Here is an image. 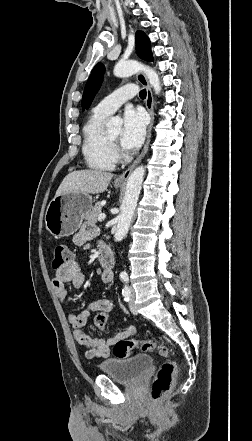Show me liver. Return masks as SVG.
<instances>
[{"label": "liver", "mask_w": 252, "mask_h": 441, "mask_svg": "<svg viewBox=\"0 0 252 441\" xmlns=\"http://www.w3.org/2000/svg\"><path fill=\"white\" fill-rule=\"evenodd\" d=\"M112 178V173L101 170L86 169L73 171L63 179L56 191V196L65 193H103Z\"/></svg>", "instance_id": "obj_1"}]
</instances>
